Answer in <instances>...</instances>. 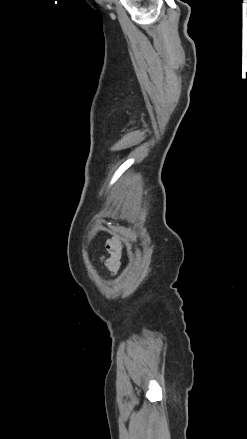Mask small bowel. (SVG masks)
Masks as SVG:
<instances>
[{
	"label": "small bowel",
	"instance_id": "obj_1",
	"mask_svg": "<svg viewBox=\"0 0 247 439\" xmlns=\"http://www.w3.org/2000/svg\"><path fill=\"white\" fill-rule=\"evenodd\" d=\"M106 246L110 256L108 258L101 257V263L107 270L115 274L121 266L122 244L118 238H112Z\"/></svg>",
	"mask_w": 247,
	"mask_h": 439
}]
</instances>
